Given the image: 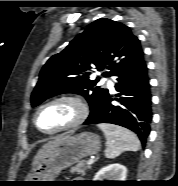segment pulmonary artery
<instances>
[{"mask_svg":"<svg viewBox=\"0 0 178 186\" xmlns=\"http://www.w3.org/2000/svg\"><path fill=\"white\" fill-rule=\"evenodd\" d=\"M108 87L112 90L113 87H114L113 83H112V82H109V83H108Z\"/></svg>","mask_w":178,"mask_h":186,"instance_id":"1","label":"pulmonary artery"}]
</instances>
